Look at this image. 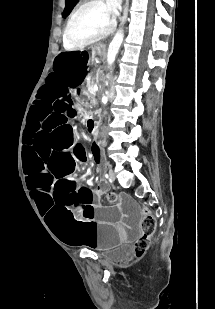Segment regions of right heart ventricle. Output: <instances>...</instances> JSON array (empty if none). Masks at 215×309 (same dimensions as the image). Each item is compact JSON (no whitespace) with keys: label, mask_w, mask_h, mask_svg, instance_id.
I'll list each match as a JSON object with an SVG mask.
<instances>
[{"label":"right heart ventricle","mask_w":215,"mask_h":309,"mask_svg":"<svg viewBox=\"0 0 215 309\" xmlns=\"http://www.w3.org/2000/svg\"><path fill=\"white\" fill-rule=\"evenodd\" d=\"M63 45L65 48H71V43L69 41L66 43L64 39H63Z\"/></svg>","instance_id":"right-heart-ventricle-1"}]
</instances>
